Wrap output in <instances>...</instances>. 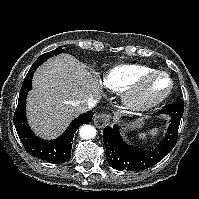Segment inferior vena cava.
<instances>
[{"label": "inferior vena cava", "mask_w": 199, "mask_h": 199, "mask_svg": "<svg viewBox=\"0 0 199 199\" xmlns=\"http://www.w3.org/2000/svg\"><path fill=\"white\" fill-rule=\"evenodd\" d=\"M96 102L93 100L82 101L76 105L78 112L84 113L95 106Z\"/></svg>", "instance_id": "inferior-vena-cava-1"}]
</instances>
